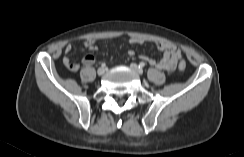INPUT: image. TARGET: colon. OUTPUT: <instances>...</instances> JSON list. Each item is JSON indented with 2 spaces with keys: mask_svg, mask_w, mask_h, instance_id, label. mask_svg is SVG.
I'll list each match as a JSON object with an SVG mask.
<instances>
[{
  "mask_svg": "<svg viewBox=\"0 0 244 157\" xmlns=\"http://www.w3.org/2000/svg\"><path fill=\"white\" fill-rule=\"evenodd\" d=\"M178 68L180 70H184L186 68V63L185 61H180L179 64H178Z\"/></svg>",
  "mask_w": 244,
  "mask_h": 157,
  "instance_id": "1",
  "label": "colon"
}]
</instances>
